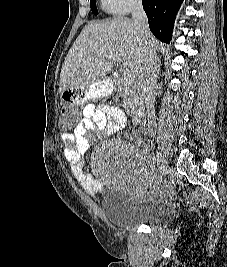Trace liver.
Here are the masks:
<instances>
[{
	"label": "liver",
	"mask_w": 227,
	"mask_h": 267,
	"mask_svg": "<svg viewBox=\"0 0 227 267\" xmlns=\"http://www.w3.org/2000/svg\"><path fill=\"white\" fill-rule=\"evenodd\" d=\"M149 43L155 51L158 49L159 41L154 36ZM144 59V44L132 20L114 17L92 22L84 27L64 60L59 91L105 80L117 60L138 79Z\"/></svg>",
	"instance_id": "liver-1"
}]
</instances>
